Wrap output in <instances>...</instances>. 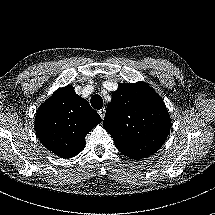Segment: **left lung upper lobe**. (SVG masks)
Wrapping results in <instances>:
<instances>
[{
    "label": "left lung upper lobe",
    "instance_id": "left-lung-upper-lobe-1",
    "mask_svg": "<svg viewBox=\"0 0 215 215\" xmlns=\"http://www.w3.org/2000/svg\"><path fill=\"white\" fill-rule=\"evenodd\" d=\"M117 149L132 159L154 154L167 138L171 120L161 97L144 82L120 84L103 121Z\"/></svg>",
    "mask_w": 215,
    "mask_h": 215
}]
</instances>
